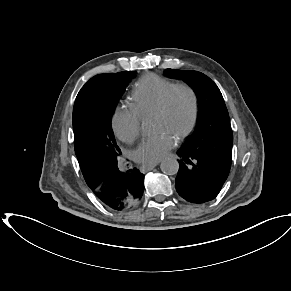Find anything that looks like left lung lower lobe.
<instances>
[{
	"label": "left lung lower lobe",
	"instance_id": "obj_1",
	"mask_svg": "<svg viewBox=\"0 0 291 291\" xmlns=\"http://www.w3.org/2000/svg\"><path fill=\"white\" fill-rule=\"evenodd\" d=\"M179 171L175 180L178 194L196 204L213 200L226 181L231 164L178 150Z\"/></svg>",
	"mask_w": 291,
	"mask_h": 291
}]
</instances>
